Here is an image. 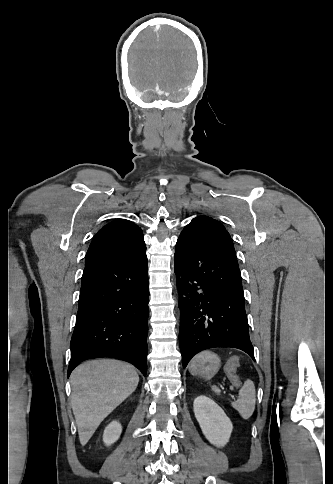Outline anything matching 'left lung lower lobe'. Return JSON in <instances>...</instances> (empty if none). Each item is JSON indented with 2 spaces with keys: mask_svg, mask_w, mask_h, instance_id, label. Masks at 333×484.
Returning <instances> with one entry per match:
<instances>
[{
  "mask_svg": "<svg viewBox=\"0 0 333 484\" xmlns=\"http://www.w3.org/2000/svg\"><path fill=\"white\" fill-rule=\"evenodd\" d=\"M174 270L183 367L198 352L215 347L237 348L255 360L241 274L224 226L209 217L193 219L176 243Z\"/></svg>",
  "mask_w": 333,
  "mask_h": 484,
  "instance_id": "left-lung-lower-lobe-1",
  "label": "left lung lower lobe"
}]
</instances>
